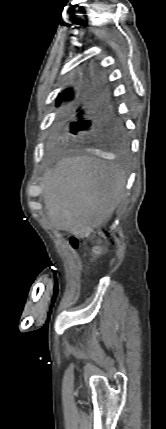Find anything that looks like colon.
<instances>
[{
    "instance_id": "1",
    "label": "colon",
    "mask_w": 166,
    "mask_h": 429,
    "mask_svg": "<svg viewBox=\"0 0 166 429\" xmlns=\"http://www.w3.org/2000/svg\"><path fill=\"white\" fill-rule=\"evenodd\" d=\"M70 243H71V245L73 246V247H78V245H79V241H78V239L77 238H75V237H72L71 239H70ZM101 251V247L100 246H96L95 247V253H99Z\"/></svg>"
}]
</instances>
